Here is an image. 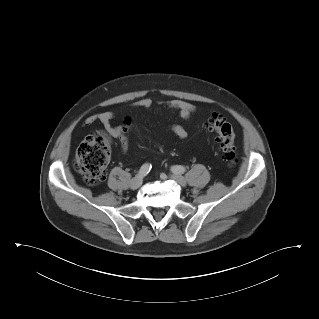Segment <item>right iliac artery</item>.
Returning <instances> with one entry per match:
<instances>
[{
    "label": "right iliac artery",
    "instance_id": "1",
    "mask_svg": "<svg viewBox=\"0 0 319 319\" xmlns=\"http://www.w3.org/2000/svg\"><path fill=\"white\" fill-rule=\"evenodd\" d=\"M150 169H151V165L148 163H145L141 166L137 175L140 177H144L150 172Z\"/></svg>",
    "mask_w": 319,
    "mask_h": 319
}]
</instances>
